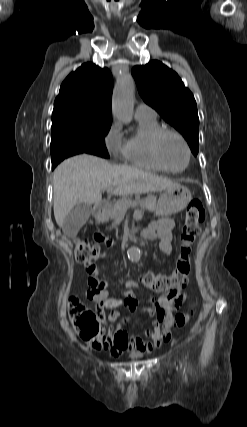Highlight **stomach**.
I'll return each mask as SVG.
<instances>
[{"label": "stomach", "instance_id": "obj_1", "mask_svg": "<svg viewBox=\"0 0 247 427\" xmlns=\"http://www.w3.org/2000/svg\"><path fill=\"white\" fill-rule=\"evenodd\" d=\"M191 199L190 190L178 184L161 192L155 210L165 216L176 214L184 210ZM100 219L105 220L102 215Z\"/></svg>", "mask_w": 247, "mask_h": 427}]
</instances>
